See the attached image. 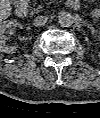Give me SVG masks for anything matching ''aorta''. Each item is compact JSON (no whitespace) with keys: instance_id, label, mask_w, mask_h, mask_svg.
Returning a JSON list of instances; mask_svg holds the SVG:
<instances>
[{"instance_id":"1","label":"aorta","mask_w":100,"mask_h":118,"mask_svg":"<svg viewBox=\"0 0 100 118\" xmlns=\"http://www.w3.org/2000/svg\"><path fill=\"white\" fill-rule=\"evenodd\" d=\"M57 19L62 27H69L73 24V17L70 13L65 11L58 13Z\"/></svg>"}]
</instances>
